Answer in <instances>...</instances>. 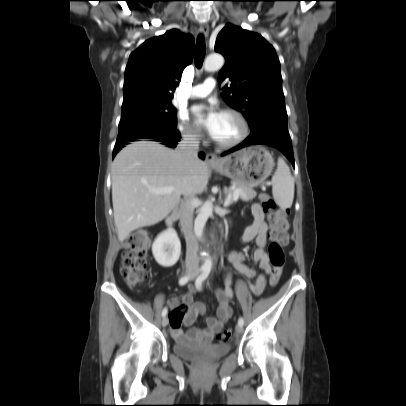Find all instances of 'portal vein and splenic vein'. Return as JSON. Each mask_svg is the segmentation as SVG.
Segmentation results:
<instances>
[{
  "mask_svg": "<svg viewBox=\"0 0 406 406\" xmlns=\"http://www.w3.org/2000/svg\"><path fill=\"white\" fill-rule=\"evenodd\" d=\"M174 191H175V189L173 187H164V188L152 189L151 190V192L154 193V194H170V193H172ZM240 195H244V193L240 189H235L233 191L232 195H231L232 200L234 202H236ZM229 201H230V199L225 202V204H224L225 207L228 206Z\"/></svg>",
  "mask_w": 406,
  "mask_h": 406,
  "instance_id": "obj_1",
  "label": "portal vein and splenic vein"
}]
</instances>
